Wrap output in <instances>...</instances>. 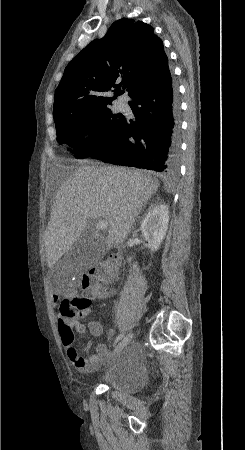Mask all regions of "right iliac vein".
<instances>
[{
    "label": "right iliac vein",
    "mask_w": 245,
    "mask_h": 450,
    "mask_svg": "<svg viewBox=\"0 0 245 450\" xmlns=\"http://www.w3.org/2000/svg\"><path fill=\"white\" fill-rule=\"evenodd\" d=\"M133 333H129L114 349L113 355L121 351L133 338Z\"/></svg>",
    "instance_id": "obj_1"
}]
</instances>
